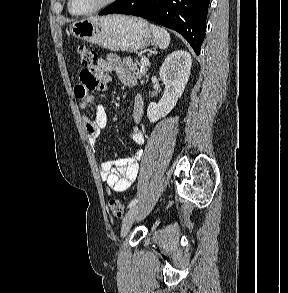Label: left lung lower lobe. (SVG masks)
<instances>
[{"mask_svg": "<svg viewBox=\"0 0 288 293\" xmlns=\"http://www.w3.org/2000/svg\"><path fill=\"white\" fill-rule=\"evenodd\" d=\"M210 0H117L99 15L130 14L180 33L197 55L205 37Z\"/></svg>", "mask_w": 288, "mask_h": 293, "instance_id": "1", "label": "left lung lower lobe"}]
</instances>
